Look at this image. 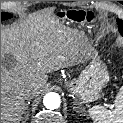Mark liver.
Listing matches in <instances>:
<instances>
[{
	"label": "liver",
	"mask_w": 123,
	"mask_h": 123,
	"mask_svg": "<svg viewBox=\"0 0 123 123\" xmlns=\"http://www.w3.org/2000/svg\"><path fill=\"white\" fill-rule=\"evenodd\" d=\"M83 45L52 11L1 28V123H20L26 114L24 90L38 96L48 73L81 60Z\"/></svg>",
	"instance_id": "6515ba94"
}]
</instances>
